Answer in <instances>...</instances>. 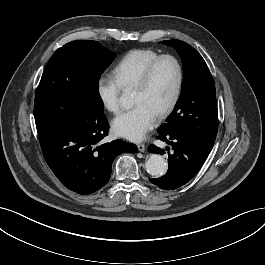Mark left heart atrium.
<instances>
[{
  "instance_id": "left-heart-atrium-1",
  "label": "left heart atrium",
  "mask_w": 265,
  "mask_h": 265,
  "mask_svg": "<svg viewBox=\"0 0 265 265\" xmlns=\"http://www.w3.org/2000/svg\"><path fill=\"white\" fill-rule=\"evenodd\" d=\"M157 115L143 104L119 114L112 121V129L118 136L131 141H141L146 133L153 128Z\"/></svg>"
}]
</instances>
